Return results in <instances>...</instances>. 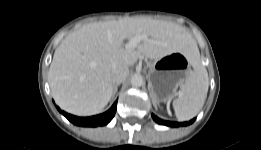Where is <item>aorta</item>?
Here are the masks:
<instances>
[{"label":"aorta","instance_id":"obj_1","mask_svg":"<svg viewBox=\"0 0 261 150\" xmlns=\"http://www.w3.org/2000/svg\"><path fill=\"white\" fill-rule=\"evenodd\" d=\"M131 85L133 87H140L143 85V78L141 75H134L132 78H131Z\"/></svg>","mask_w":261,"mask_h":150}]
</instances>
